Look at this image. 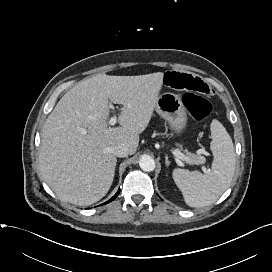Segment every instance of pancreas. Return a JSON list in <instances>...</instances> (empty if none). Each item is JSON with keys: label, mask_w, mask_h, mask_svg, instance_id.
I'll list each match as a JSON object with an SVG mask.
<instances>
[{"label": "pancreas", "mask_w": 272, "mask_h": 272, "mask_svg": "<svg viewBox=\"0 0 272 272\" xmlns=\"http://www.w3.org/2000/svg\"><path fill=\"white\" fill-rule=\"evenodd\" d=\"M187 154V157L190 160L191 164H201L205 162V157L200 155V154H192L189 153L188 151H185Z\"/></svg>", "instance_id": "cf45deb5"}]
</instances>
